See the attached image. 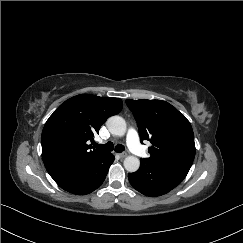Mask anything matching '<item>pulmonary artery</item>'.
<instances>
[{
	"mask_svg": "<svg viewBox=\"0 0 243 243\" xmlns=\"http://www.w3.org/2000/svg\"><path fill=\"white\" fill-rule=\"evenodd\" d=\"M126 142L128 146L137 154L140 155L142 153L140 143H139V137L136 130L130 128L126 134Z\"/></svg>",
	"mask_w": 243,
	"mask_h": 243,
	"instance_id": "e3ab8cb5",
	"label": "pulmonary artery"
}]
</instances>
